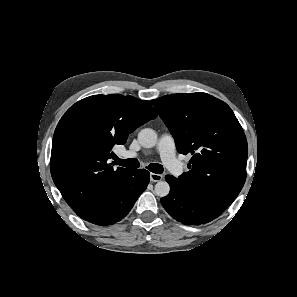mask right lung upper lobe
Masks as SVG:
<instances>
[{"label":"right lung upper lobe","instance_id":"1","mask_svg":"<svg viewBox=\"0 0 297 297\" xmlns=\"http://www.w3.org/2000/svg\"><path fill=\"white\" fill-rule=\"evenodd\" d=\"M156 117L149 101L121 94L84 98L63 115L53 136L50 169L79 217L94 213L132 171L113 169V146L125 144L131 132Z\"/></svg>","mask_w":297,"mask_h":297}]
</instances>
